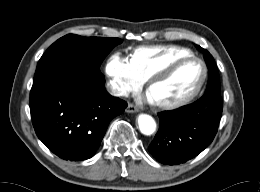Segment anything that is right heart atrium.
Segmentation results:
<instances>
[{
	"instance_id": "1",
	"label": "right heart atrium",
	"mask_w": 260,
	"mask_h": 192,
	"mask_svg": "<svg viewBox=\"0 0 260 192\" xmlns=\"http://www.w3.org/2000/svg\"><path fill=\"white\" fill-rule=\"evenodd\" d=\"M106 70L115 87L121 92L137 91L143 83L131 61L113 55L109 58Z\"/></svg>"
}]
</instances>
